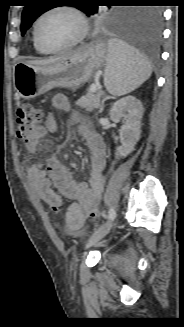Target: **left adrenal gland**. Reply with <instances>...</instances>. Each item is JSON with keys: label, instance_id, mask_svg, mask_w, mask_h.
<instances>
[{"label": "left adrenal gland", "instance_id": "1", "mask_svg": "<svg viewBox=\"0 0 184 327\" xmlns=\"http://www.w3.org/2000/svg\"><path fill=\"white\" fill-rule=\"evenodd\" d=\"M108 99V97H104L103 98V100H102V102H101V106H100V113L103 111V109H104V102L106 101Z\"/></svg>", "mask_w": 184, "mask_h": 327}]
</instances>
